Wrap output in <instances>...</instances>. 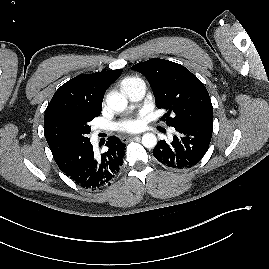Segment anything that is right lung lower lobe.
I'll return each instance as SVG.
<instances>
[{
    "mask_svg": "<svg viewBox=\"0 0 269 269\" xmlns=\"http://www.w3.org/2000/svg\"><path fill=\"white\" fill-rule=\"evenodd\" d=\"M108 151L94 156L90 142L54 158L60 170L83 188L102 189L109 186L118 174L125 154L124 143L109 137Z\"/></svg>",
    "mask_w": 269,
    "mask_h": 269,
    "instance_id": "right-lung-lower-lobe-1",
    "label": "right lung lower lobe"
}]
</instances>
